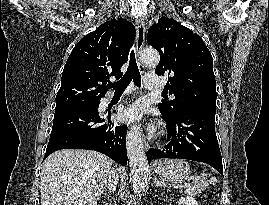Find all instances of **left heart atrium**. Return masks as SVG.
<instances>
[{
    "label": "left heart atrium",
    "instance_id": "1",
    "mask_svg": "<svg viewBox=\"0 0 269 205\" xmlns=\"http://www.w3.org/2000/svg\"><path fill=\"white\" fill-rule=\"evenodd\" d=\"M146 111V107L143 103L141 102H136L129 107L125 108L121 114H120V119L123 122H134L136 120H139L143 114Z\"/></svg>",
    "mask_w": 269,
    "mask_h": 205
}]
</instances>
